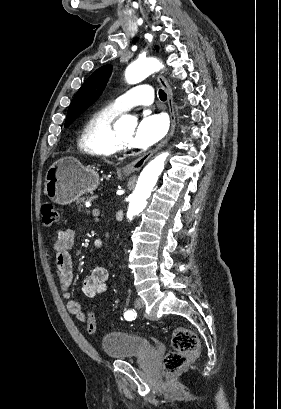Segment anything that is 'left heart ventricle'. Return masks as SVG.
Masks as SVG:
<instances>
[{
  "label": "left heart ventricle",
  "mask_w": 281,
  "mask_h": 409,
  "mask_svg": "<svg viewBox=\"0 0 281 409\" xmlns=\"http://www.w3.org/2000/svg\"><path fill=\"white\" fill-rule=\"evenodd\" d=\"M116 128L124 144L128 147H133L132 137L135 132V127H116Z\"/></svg>",
  "instance_id": "left-heart-ventricle-1"
}]
</instances>
